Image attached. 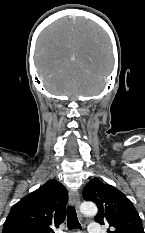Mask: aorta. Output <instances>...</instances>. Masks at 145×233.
<instances>
[{"mask_svg": "<svg viewBox=\"0 0 145 233\" xmlns=\"http://www.w3.org/2000/svg\"><path fill=\"white\" fill-rule=\"evenodd\" d=\"M80 211L86 216H95L98 212V209L93 202H84L80 206Z\"/></svg>", "mask_w": 145, "mask_h": 233, "instance_id": "aorta-1", "label": "aorta"}]
</instances>
